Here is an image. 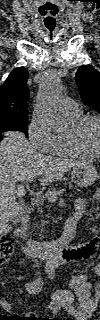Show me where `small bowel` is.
Instances as JSON below:
<instances>
[{"label":"small bowel","instance_id":"obj_1","mask_svg":"<svg viewBox=\"0 0 100 320\" xmlns=\"http://www.w3.org/2000/svg\"><path fill=\"white\" fill-rule=\"evenodd\" d=\"M99 194L94 196L95 199ZM86 198H77L75 200L76 214L82 217L86 214ZM88 249L87 244L74 247L71 251L82 253ZM55 265H49L50 279L55 281ZM95 272L100 276V264L95 267ZM43 287V280L39 272H36L34 278L25 283L24 288L30 294H37ZM94 287L87 273H81L68 282L67 286L60 287L51 294V299L48 305L49 310L53 315L63 310L73 316L76 320H88L93 312L97 309L100 301V286ZM95 289V290H94ZM97 290V291H96ZM2 309L9 313L11 306L6 300H1Z\"/></svg>","mask_w":100,"mask_h":320}]
</instances>
